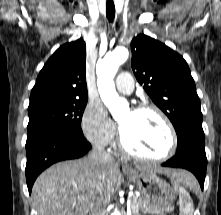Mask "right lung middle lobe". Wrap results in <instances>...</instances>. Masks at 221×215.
Masks as SVG:
<instances>
[{
  "label": "right lung middle lobe",
  "instance_id": "obj_1",
  "mask_svg": "<svg viewBox=\"0 0 221 215\" xmlns=\"http://www.w3.org/2000/svg\"><path fill=\"white\" fill-rule=\"evenodd\" d=\"M87 99L52 100L29 105L27 140L55 132L83 135L81 119Z\"/></svg>",
  "mask_w": 221,
  "mask_h": 215
}]
</instances>
